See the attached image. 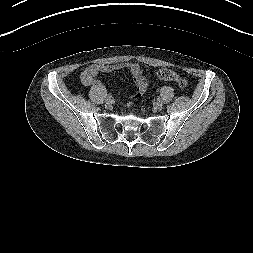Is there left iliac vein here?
Returning a JSON list of instances; mask_svg holds the SVG:
<instances>
[{
    "mask_svg": "<svg viewBox=\"0 0 253 253\" xmlns=\"http://www.w3.org/2000/svg\"><path fill=\"white\" fill-rule=\"evenodd\" d=\"M154 106H155L156 108H158V109H161V108H162V105H161L160 103H158V102L155 103Z\"/></svg>",
    "mask_w": 253,
    "mask_h": 253,
    "instance_id": "4c4485c4",
    "label": "left iliac vein"
}]
</instances>
